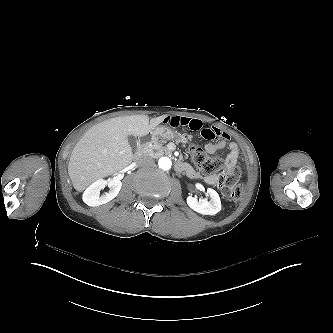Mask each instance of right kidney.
Returning a JSON list of instances; mask_svg holds the SVG:
<instances>
[{"mask_svg": "<svg viewBox=\"0 0 333 333\" xmlns=\"http://www.w3.org/2000/svg\"><path fill=\"white\" fill-rule=\"evenodd\" d=\"M107 186L110 188V191L100 196L98 192ZM121 187L122 182L118 178H110L108 180L95 182L86 189L83 195V201L90 207H97L106 204L119 194Z\"/></svg>", "mask_w": 333, "mask_h": 333, "instance_id": "right-kidney-1", "label": "right kidney"}]
</instances>
